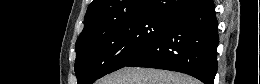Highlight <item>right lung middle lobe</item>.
Segmentation results:
<instances>
[{
    "mask_svg": "<svg viewBox=\"0 0 260 84\" xmlns=\"http://www.w3.org/2000/svg\"><path fill=\"white\" fill-rule=\"evenodd\" d=\"M171 17L147 15L107 27L98 37L76 45L75 73L78 84L125 67L158 38Z\"/></svg>",
    "mask_w": 260,
    "mask_h": 84,
    "instance_id": "dd1d6c3e",
    "label": "right lung middle lobe"
}]
</instances>
